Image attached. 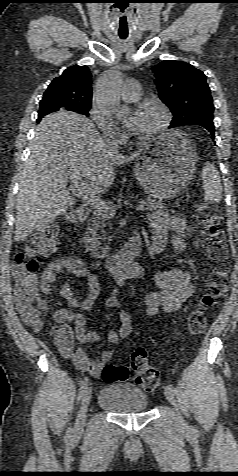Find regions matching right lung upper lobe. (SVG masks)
Segmentation results:
<instances>
[{
  "mask_svg": "<svg viewBox=\"0 0 238 476\" xmlns=\"http://www.w3.org/2000/svg\"><path fill=\"white\" fill-rule=\"evenodd\" d=\"M91 76L87 66L73 65L67 68L50 83L41 102L53 103L62 110L76 112L90 108Z\"/></svg>",
  "mask_w": 238,
  "mask_h": 476,
  "instance_id": "1",
  "label": "right lung upper lobe"
}]
</instances>
